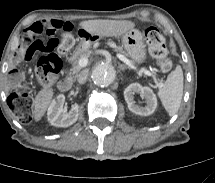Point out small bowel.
<instances>
[{"label": "small bowel", "mask_w": 215, "mask_h": 183, "mask_svg": "<svg viewBox=\"0 0 215 183\" xmlns=\"http://www.w3.org/2000/svg\"><path fill=\"white\" fill-rule=\"evenodd\" d=\"M39 29H44V30H50V31H58V30H65V29H72V26L70 23L57 20V19H47V20H42V21H37L32 23L29 28L26 31L29 32H36ZM21 80L20 75L14 74L11 84L12 85H17Z\"/></svg>", "instance_id": "obj_1"}]
</instances>
